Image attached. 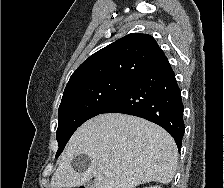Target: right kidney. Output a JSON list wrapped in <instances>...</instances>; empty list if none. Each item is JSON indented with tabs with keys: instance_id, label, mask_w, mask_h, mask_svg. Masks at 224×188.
I'll list each match as a JSON object with an SVG mask.
<instances>
[{
	"instance_id": "ca27d5eb",
	"label": "right kidney",
	"mask_w": 224,
	"mask_h": 188,
	"mask_svg": "<svg viewBox=\"0 0 224 188\" xmlns=\"http://www.w3.org/2000/svg\"><path fill=\"white\" fill-rule=\"evenodd\" d=\"M144 188H161L160 186H151V187H144Z\"/></svg>"
}]
</instances>
